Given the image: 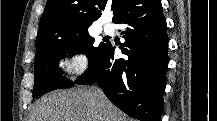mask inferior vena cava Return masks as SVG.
Here are the masks:
<instances>
[{"instance_id":"inferior-vena-cava-1","label":"inferior vena cava","mask_w":217,"mask_h":121,"mask_svg":"<svg viewBox=\"0 0 217 121\" xmlns=\"http://www.w3.org/2000/svg\"><path fill=\"white\" fill-rule=\"evenodd\" d=\"M96 92H97V96H98L99 99L102 98V97H104V94H103V92H102L101 89L98 88V89L96 90Z\"/></svg>"}]
</instances>
